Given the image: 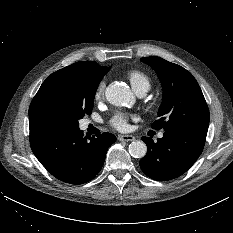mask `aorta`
<instances>
[{
    "label": "aorta",
    "mask_w": 233,
    "mask_h": 233,
    "mask_svg": "<svg viewBox=\"0 0 233 233\" xmlns=\"http://www.w3.org/2000/svg\"><path fill=\"white\" fill-rule=\"evenodd\" d=\"M105 96L107 101L115 106H125L134 102V95L129 87L121 83L109 84L105 90ZM129 153L134 158H142L147 153V146L143 141H133L129 145Z\"/></svg>",
    "instance_id": "obj_1"
}]
</instances>
